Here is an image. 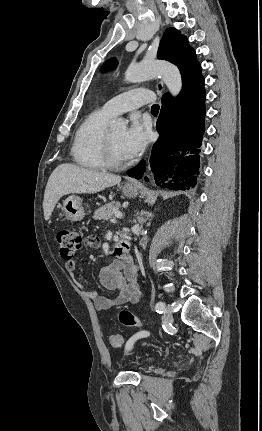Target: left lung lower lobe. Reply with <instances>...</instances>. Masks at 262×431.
<instances>
[{
	"mask_svg": "<svg viewBox=\"0 0 262 431\" xmlns=\"http://www.w3.org/2000/svg\"><path fill=\"white\" fill-rule=\"evenodd\" d=\"M205 114L203 78L183 88L176 103L169 94L163 95L157 120V130L161 136L154 144L150 158L153 178L158 186L172 190L195 187ZM144 171L143 160L127 174L139 179ZM145 180L148 181V178Z\"/></svg>",
	"mask_w": 262,
	"mask_h": 431,
	"instance_id": "obj_1",
	"label": "left lung lower lobe"
}]
</instances>
